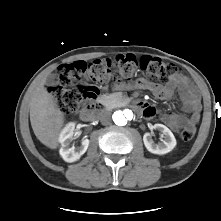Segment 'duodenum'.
I'll return each mask as SVG.
<instances>
[{
    "instance_id": "1",
    "label": "duodenum",
    "mask_w": 221,
    "mask_h": 221,
    "mask_svg": "<svg viewBox=\"0 0 221 221\" xmlns=\"http://www.w3.org/2000/svg\"><path fill=\"white\" fill-rule=\"evenodd\" d=\"M122 98L124 102H130L126 95H124ZM130 103L133 104L135 107L141 109V106L144 102H130ZM102 109H104L103 104H101L98 101H93L89 107L83 109L80 112V117L84 121L92 120L95 118L96 111H101Z\"/></svg>"
}]
</instances>
